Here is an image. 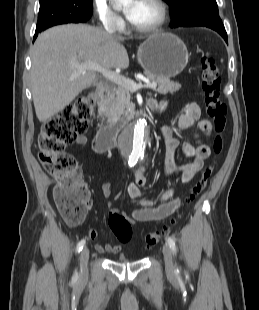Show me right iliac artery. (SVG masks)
Returning a JSON list of instances; mask_svg holds the SVG:
<instances>
[{
  "label": "right iliac artery",
  "mask_w": 259,
  "mask_h": 310,
  "mask_svg": "<svg viewBox=\"0 0 259 310\" xmlns=\"http://www.w3.org/2000/svg\"><path fill=\"white\" fill-rule=\"evenodd\" d=\"M136 162H137V160H136V161H135V160H129V166H130V167H133V166L136 164ZM84 245H85V239H82V240L77 244L76 252L79 253V252L83 249ZM77 278H78V274L75 273L74 276H73V280L76 281Z\"/></svg>",
  "instance_id": "right-iliac-artery-1"
}]
</instances>
